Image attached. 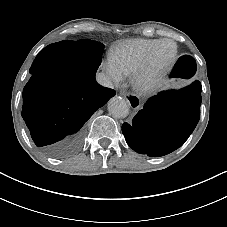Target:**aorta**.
Masks as SVG:
<instances>
[{
    "instance_id": "1",
    "label": "aorta",
    "mask_w": 227,
    "mask_h": 227,
    "mask_svg": "<svg viewBox=\"0 0 227 227\" xmlns=\"http://www.w3.org/2000/svg\"><path fill=\"white\" fill-rule=\"evenodd\" d=\"M108 112L115 118H125L129 113V107L123 98L114 96L108 102Z\"/></svg>"
}]
</instances>
